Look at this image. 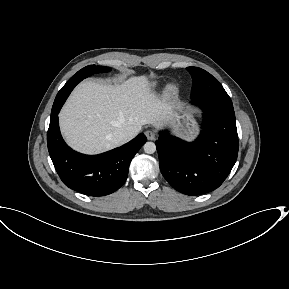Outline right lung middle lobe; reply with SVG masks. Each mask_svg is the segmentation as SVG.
<instances>
[{"instance_id":"1","label":"right lung middle lobe","mask_w":289,"mask_h":289,"mask_svg":"<svg viewBox=\"0 0 289 289\" xmlns=\"http://www.w3.org/2000/svg\"><path fill=\"white\" fill-rule=\"evenodd\" d=\"M110 70L111 69L109 67L89 65L79 70L71 79L81 78L83 80L84 78L90 76L91 74L99 72H108Z\"/></svg>"}]
</instances>
